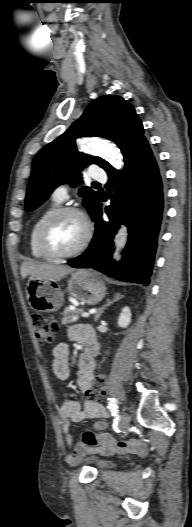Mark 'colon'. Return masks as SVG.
I'll return each instance as SVG.
<instances>
[{"label":"colon","instance_id":"colon-1","mask_svg":"<svg viewBox=\"0 0 192 527\" xmlns=\"http://www.w3.org/2000/svg\"><path fill=\"white\" fill-rule=\"evenodd\" d=\"M32 323L35 335L40 343L51 344L54 342L55 337L59 332V325L56 321L48 319L42 315H34L32 317ZM104 387V376H96L93 383V392L91 397L97 400L103 394Z\"/></svg>","mask_w":192,"mask_h":527}]
</instances>
